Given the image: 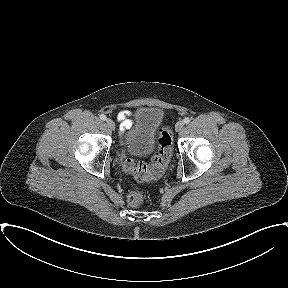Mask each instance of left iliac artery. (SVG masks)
<instances>
[{
    "label": "left iliac artery",
    "instance_id": "left-iliac-artery-1",
    "mask_svg": "<svg viewBox=\"0 0 288 288\" xmlns=\"http://www.w3.org/2000/svg\"><path fill=\"white\" fill-rule=\"evenodd\" d=\"M183 122H184L185 124H188V123L190 122V118H189V117L184 118Z\"/></svg>",
    "mask_w": 288,
    "mask_h": 288
}]
</instances>
